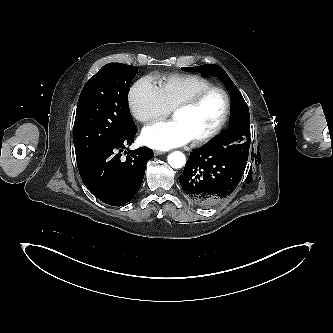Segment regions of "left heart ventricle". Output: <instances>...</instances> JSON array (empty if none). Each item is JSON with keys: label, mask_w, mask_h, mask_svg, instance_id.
Here are the masks:
<instances>
[{"label": "left heart ventricle", "mask_w": 333, "mask_h": 333, "mask_svg": "<svg viewBox=\"0 0 333 333\" xmlns=\"http://www.w3.org/2000/svg\"><path fill=\"white\" fill-rule=\"evenodd\" d=\"M224 109V97L218 92H213L195 108L176 112L173 119L181 123L191 140H194L215 128Z\"/></svg>", "instance_id": "obj_1"}]
</instances>
